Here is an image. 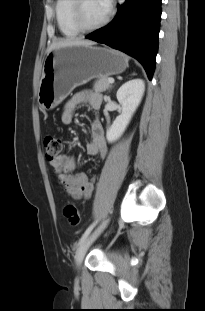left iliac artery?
Wrapping results in <instances>:
<instances>
[{"instance_id":"44dca946","label":"left iliac artery","mask_w":205,"mask_h":311,"mask_svg":"<svg viewBox=\"0 0 205 311\" xmlns=\"http://www.w3.org/2000/svg\"><path fill=\"white\" fill-rule=\"evenodd\" d=\"M97 224V220L95 222H93L84 232V234L82 235V237L79 240L78 244H81L82 241L90 234V232L93 230V228L95 227V225Z\"/></svg>"}]
</instances>
